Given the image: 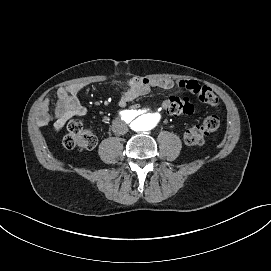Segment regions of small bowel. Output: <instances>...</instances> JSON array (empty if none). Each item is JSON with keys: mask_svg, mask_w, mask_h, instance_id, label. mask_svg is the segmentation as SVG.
Masks as SVG:
<instances>
[{"mask_svg": "<svg viewBox=\"0 0 271 271\" xmlns=\"http://www.w3.org/2000/svg\"><path fill=\"white\" fill-rule=\"evenodd\" d=\"M87 86L85 83H74L60 87L56 92L57 101L53 107H51L49 99H45L40 104L36 114L37 124L41 127L52 125L54 131L59 132L71 118L86 116L88 110L80 103L78 95ZM201 87L195 80L132 78L127 82V87L119 98V105L126 106L129 102L148 93L152 88L165 90L180 88L197 95Z\"/></svg>", "mask_w": 271, "mask_h": 271, "instance_id": "small-bowel-1", "label": "small bowel"}]
</instances>
